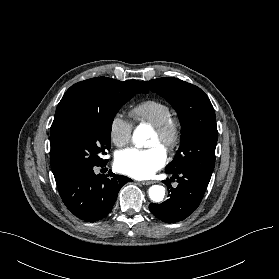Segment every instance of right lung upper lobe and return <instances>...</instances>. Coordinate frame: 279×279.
<instances>
[{
	"label": "right lung upper lobe",
	"mask_w": 279,
	"mask_h": 279,
	"mask_svg": "<svg viewBox=\"0 0 279 279\" xmlns=\"http://www.w3.org/2000/svg\"><path fill=\"white\" fill-rule=\"evenodd\" d=\"M132 89L139 93H147L148 90L137 80L124 82L111 78L97 77L78 82L71 86L59 102L54 121L51 126V156L50 164L56 180V184L67 177L65 167L57 151V134L63 120L75 109L80 107L100 106L106 93L112 90Z\"/></svg>",
	"instance_id": "cb5924a9"
}]
</instances>
